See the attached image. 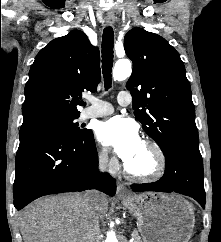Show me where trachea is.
I'll return each mask as SVG.
<instances>
[{
    "label": "trachea",
    "instance_id": "3493384b",
    "mask_svg": "<svg viewBox=\"0 0 221 242\" xmlns=\"http://www.w3.org/2000/svg\"><path fill=\"white\" fill-rule=\"evenodd\" d=\"M114 32L112 27H106L102 36V73L105 90L111 87L113 67Z\"/></svg>",
    "mask_w": 221,
    "mask_h": 242
}]
</instances>
